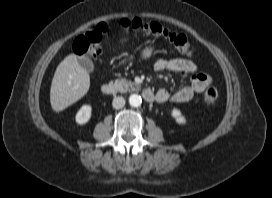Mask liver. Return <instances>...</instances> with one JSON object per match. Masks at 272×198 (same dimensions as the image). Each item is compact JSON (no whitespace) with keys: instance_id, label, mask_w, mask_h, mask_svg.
<instances>
[{"instance_id":"6515ba94","label":"liver","mask_w":272,"mask_h":198,"mask_svg":"<svg viewBox=\"0 0 272 198\" xmlns=\"http://www.w3.org/2000/svg\"><path fill=\"white\" fill-rule=\"evenodd\" d=\"M123 41V40H122ZM90 76L77 56L68 55L57 67L51 83L50 103L59 112L81 99L89 90Z\"/></svg>"}]
</instances>
